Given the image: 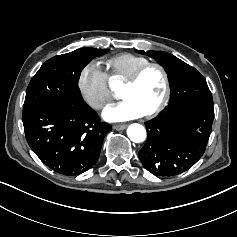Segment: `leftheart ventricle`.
I'll return each instance as SVG.
<instances>
[{
	"label": "left heart ventricle",
	"instance_id": "obj_1",
	"mask_svg": "<svg viewBox=\"0 0 237 237\" xmlns=\"http://www.w3.org/2000/svg\"><path fill=\"white\" fill-rule=\"evenodd\" d=\"M164 78L157 68L148 69L132 86H123L121 99L131 101L143 114L153 110L162 100Z\"/></svg>",
	"mask_w": 237,
	"mask_h": 237
}]
</instances>
